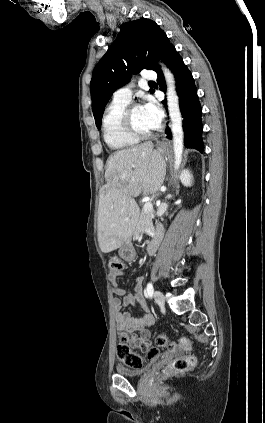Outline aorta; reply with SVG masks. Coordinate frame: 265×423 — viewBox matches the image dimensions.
I'll list each match as a JSON object with an SVG mask.
<instances>
[{
    "label": "aorta",
    "instance_id": "1",
    "mask_svg": "<svg viewBox=\"0 0 265 423\" xmlns=\"http://www.w3.org/2000/svg\"><path fill=\"white\" fill-rule=\"evenodd\" d=\"M162 71L164 73L166 85H167V105L169 116L171 120V130L173 136V150H174V168L178 170L182 161L183 153V139L184 133L182 128V116L179 107V97L176 92V82L174 75L171 71L163 64L160 63Z\"/></svg>",
    "mask_w": 265,
    "mask_h": 423
}]
</instances>
